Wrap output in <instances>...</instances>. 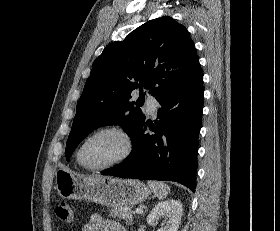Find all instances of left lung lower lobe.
Returning <instances> with one entry per match:
<instances>
[{"instance_id":"obj_1","label":"left lung lower lobe","mask_w":280,"mask_h":231,"mask_svg":"<svg viewBox=\"0 0 280 231\" xmlns=\"http://www.w3.org/2000/svg\"><path fill=\"white\" fill-rule=\"evenodd\" d=\"M201 67L156 97L161 107L152 127L141 123L131 136L132 152L122 163L102 171L123 178L168 180L196 188L198 135L203 112ZM145 121V120H144Z\"/></svg>"}]
</instances>
